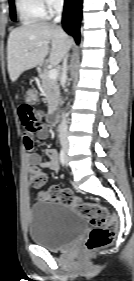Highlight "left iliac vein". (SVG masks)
I'll return each instance as SVG.
<instances>
[{
  "label": "left iliac vein",
  "mask_w": 134,
  "mask_h": 281,
  "mask_svg": "<svg viewBox=\"0 0 134 281\" xmlns=\"http://www.w3.org/2000/svg\"><path fill=\"white\" fill-rule=\"evenodd\" d=\"M67 161H68V160H67V157H66V164H67Z\"/></svg>",
  "instance_id": "1"
}]
</instances>
